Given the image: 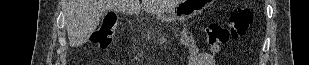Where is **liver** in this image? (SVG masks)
I'll return each instance as SVG.
<instances>
[{"label": "liver", "instance_id": "1", "mask_svg": "<svg viewBox=\"0 0 309 65\" xmlns=\"http://www.w3.org/2000/svg\"><path fill=\"white\" fill-rule=\"evenodd\" d=\"M175 0H65V24L71 47L86 43L98 27L103 15L109 11H119L129 15L147 13L161 14L175 7Z\"/></svg>", "mask_w": 309, "mask_h": 65}]
</instances>
